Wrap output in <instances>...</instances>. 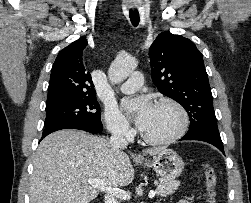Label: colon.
<instances>
[{"label":"colon","mask_w":251,"mask_h":203,"mask_svg":"<svg viewBox=\"0 0 251 203\" xmlns=\"http://www.w3.org/2000/svg\"><path fill=\"white\" fill-rule=\"evenodd\" d=\"M202 169L206 185L207 203H217L216 192H215L217 185L216 170L209 163H204Z\"/></svg>","instance_id":"5ec220e1"}]
</instances>
